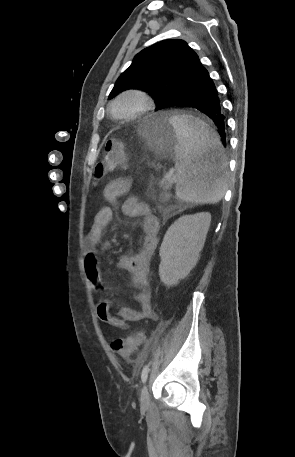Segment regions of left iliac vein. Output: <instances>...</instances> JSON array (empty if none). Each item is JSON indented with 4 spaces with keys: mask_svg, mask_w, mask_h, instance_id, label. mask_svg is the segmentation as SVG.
Masks as SVG:
<instances>
[{
    "mask_svg": "<svg viewBox=\"0 0 295 457\" xmlns=\"http://www.w3.org/2000/svg\"><path fill=\"white\" fill-rule=\"evenodd\" d=\"M149 402H150V397H149L148 387H147V385H144L141 389V394H140L141 407H143V408L148 407Z\"/></svg>",
    "mask_w": 295,
    "mask_h": 457,
    "instance_id": "left-iliac-vein-1",
    "label": "left iliac vein"
}]
</instances>
